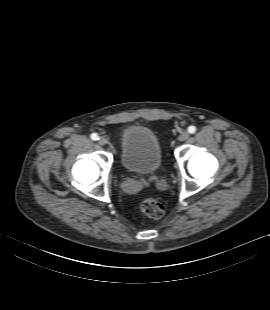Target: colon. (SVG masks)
Wrapping results in <instances>:
<instances>
[{
    "label": "colon",
    "mask_w": 270,
    "mask_h": 310,
    "mask_svg": "<svg viewBox=\"0 0 270 310\" xmlns=\"http://www.w3.org/2000/svg\"><path fill=\"white\" fill-rule=\"evenodd\" d=\"M140 210L150 218L158 219L164 215V206L155 198H145L140 203Z\"/></svg>",
    "instance_id": "1"
}]
</instances>
